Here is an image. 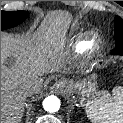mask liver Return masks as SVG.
I'll use <instances>...</instances> for the list:
<instances>
[{
	"label": "liver",
	"mask_w": 123,
	"mask_h": 123,
	"mask_svg": "<svg viewBox=\"0 0 123 123\" xmlns=\"http://www.w3.org/2000/svg\"><path fill=\"white\" fill-rule=\"evenodd\" d=\"M66 23V16L54 14L32 37L1 34V123H20L26 81H37L40 89L44 74L70 68L62 39Z\"/></svg>",
	"instance_id": "obj_1"
}]
</instances>
